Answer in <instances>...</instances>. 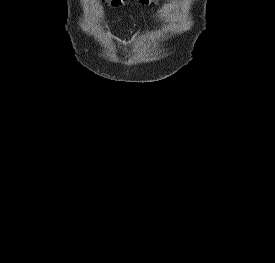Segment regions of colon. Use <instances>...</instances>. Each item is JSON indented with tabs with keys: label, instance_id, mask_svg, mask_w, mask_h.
Segmentation results:
<instances>
[{
	"label": "colon",
	"instance_id": "colon-1",
	"mask_svg": "<svg viewBox=\"0 0 275 263\" xmlns=\"http://www.w3.org/2000/svg\"><path fill=\"white\" fill-rule=\"evenodd\" d=\"M122 0H110V5L113 7L118 6ZM140 4L149 5L153 3V0H137Z\"/></svg>",
	"mask_w": 275,
	"mask_h": 263
}]
</instances>
